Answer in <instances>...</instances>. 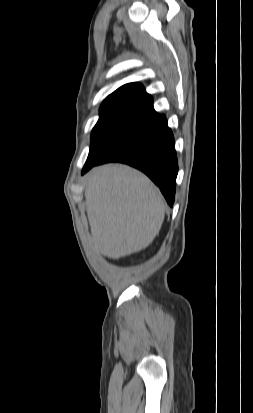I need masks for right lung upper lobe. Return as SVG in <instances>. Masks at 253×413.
I'll use <instances>...</instances> for the list:
<instances>
[{
	"instance_id": "cb5924a9",
	"label": "right lung upper lobe",
	"mask_w": 253,
	"mask_h": 413,
	"mask_svg": "<svg viewBox=\"0 0 253 413\" xmlns=\"http://www.w3.org/2000/svg\"><path fill=\"white\" fill-rule=\"evenodd\" d=\"M112 111H131L149 117L165 118L154 110L152 97L137 82L121 86L103 101L100 113Z\"/></svg>"
}]
</instances>
